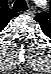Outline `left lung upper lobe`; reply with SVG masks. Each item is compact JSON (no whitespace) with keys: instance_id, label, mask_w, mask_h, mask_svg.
I'll use <instances>...</instances> for the list:
<instances>
[{"instance_id":"left-lung-upper-lobe-1","label":"left lung upper lobe","mask_w":51,"mask_h":74,"mask_svg":"<svg viewBox=\"0 0 51 74\" xmlns=\"http://www.w3.org/2000/svg\"><path fill=\"white\" fill-rule=\"evenodd\" d=\"M44 14H39L35 17V20L39 23H43V20H44Z\"/></svg>"}]
</instances>
